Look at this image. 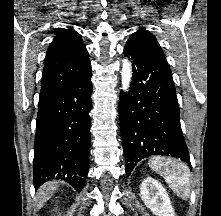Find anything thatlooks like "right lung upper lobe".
<instances>
[{
    "mask_svg": "<svg viewBox=\"0 0 221 216\" xmlns=\"http://www.w3.org/2000/svg\"><path fill=\"white\" fill-rule=\"evenodd\" d=\"M90 70L88 52L81 36L73 29L62 28L47 50L39 99Z\"/></svg>",
    "mask_w": 221,
    "mask_h": 216,
    "instance_id": "obj_1",
    "label": "right lung upper lobe"
}]
</instances>
